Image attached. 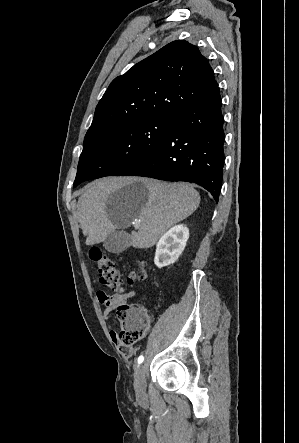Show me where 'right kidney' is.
Listing matches in <instances>:
<instances>
[{
	"mask_svg": "<svg viewBox=\"0 0 299 443\" xmlns=\"http://www.w3.org/2000/svg\"><path fill=\"white\" fill-rule=\"evenodd\" d=\"M189 229L183 224L172 227L158 241L154 262L158 268L173 264L183 252Z\"/></svg>",
	"mask_w": 299,
	"mask_h": 443,
	"instance_id": "1",
	"label": "right kidney"
}]
</instances>
